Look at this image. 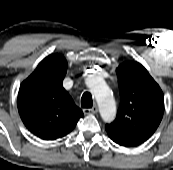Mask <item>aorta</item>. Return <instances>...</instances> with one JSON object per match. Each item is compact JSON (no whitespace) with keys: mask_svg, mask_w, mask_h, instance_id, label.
Segmentation results:
<instances>
[{"mask_svg":"<svg viewBox=\"0 0 173 170\" xmlns=\"http://www.w3.org/2000/svg\"><path fill=\"white\" fill-rule=\"evenodd\" d=\"M91 91L98 103L99 112L105 122H111L116 116V103L108 86L99 78L90 84Z\"/></svg>","mask_w":173,"mask_h":170,"instance_id":"obj_1","label":"aorta"}]
</instances>
